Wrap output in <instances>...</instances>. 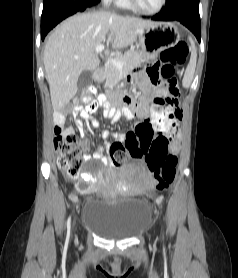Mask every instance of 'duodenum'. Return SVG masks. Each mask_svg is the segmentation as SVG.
<instances>
[{
    "label": "duodenum",
    "mask_w": 238,
    "mask_h": 278,
    "mask_svg": "<svg viewBox=\"0 0 238 278\" xmlns=\"http://www.w3.org/2000/svg\"><path fill=\"white\" fill-rule=\"evenodd\" d=\"M93 77H94L95 80L100 81L103 78L102 68H96L94 70Z\"/></svg>",
    "instance_id": "obj_1"
}]
</instances>
